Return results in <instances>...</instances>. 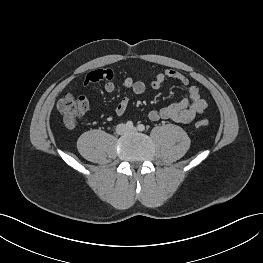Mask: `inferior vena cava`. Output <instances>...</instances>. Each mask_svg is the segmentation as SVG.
<instances>
[{
	"label": "inferior vena cava",
	"instance_id": "inferior-vena-cava-1",
	"mask_svg": "<svg viewBox=\"0 0 263 263\" xmlns=\"http://www.w3.org/2000/svg\"><path fill=\"white\" fill-rule=\"evenodd\" d=\"M116 130L118 133H122V131L124 130V124H119Z\"/></svg>",
	"mask_w": 263,
	"mask_h": 263
}]
</instances>
